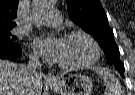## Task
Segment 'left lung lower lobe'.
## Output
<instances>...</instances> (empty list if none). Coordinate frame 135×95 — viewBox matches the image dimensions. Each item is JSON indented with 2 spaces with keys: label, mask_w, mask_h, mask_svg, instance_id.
<instances>
[{
  "label": "left lung lower lobe",
  "mask_w": 135,
  "mask_h": 95,
  "mask_svg": "<svg viewBox=\"0 0 135 95\" xmlns=\"http://www.w3.org/2000/svg\"><path fill=\"white\" fill-rule=\"evenodd\" d=\"M122 77H124V68H117Z\"/></svg>",
  "instance_id": "0a47b994"
}]
</instances>
